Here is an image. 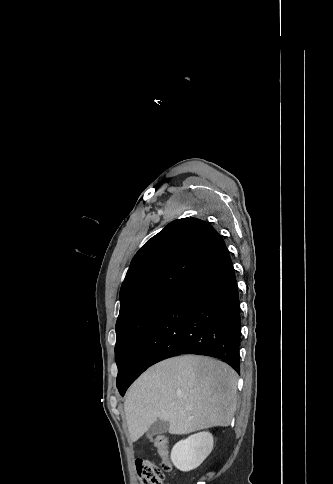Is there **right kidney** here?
<instances>
[{"label":"right kidney","instance_id":"obj_1","mask_svg":"<svg viewBox=\"0 0 333 484\" xmlns=\"http://www.w3.org/2000/svg\"><path fill=\"white\" fill-rule=\"evenodd\" d=\"M212 449V434L200 432L176 443L171 451V460L179 470L191 471L203 463Z\"/></svg>","mask_w":333,"mask_h":484}]
</instances>
